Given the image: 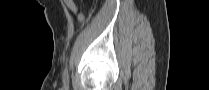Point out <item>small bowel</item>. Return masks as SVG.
Here are the masks:
<instances>
[{"mask_svg":"<svg viewBox=\"0 0 209 90\" xmlns=\"http://www.w3.org/2000/svg\"><path fill=\"white\" fill-rule=\"evenodd\" d=\"M66 4L75 13L78 21L80 22L84 21L85 19L84 15L78 11V8L73 0H66Z\"/></svg>","mask_w":209,"mask_h":90,"instance_id":"c3829d8e","label":"small bowel"}]
</instances>
